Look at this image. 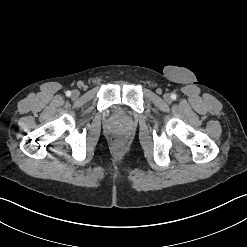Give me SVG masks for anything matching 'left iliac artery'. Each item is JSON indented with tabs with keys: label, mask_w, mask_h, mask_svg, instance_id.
<instances>
[{
	"label": "left iliac artery",
	"mask_w": 247,
	"mask_h": 247,
	"mask_svg": "<svg viewBox=\"0 0 247 247\" xmlns=\"http://www.w3.org/2000/svg\"><path fill=\"white\" fill-rule=\"evenodd\" d=\"M171 98H172L173 100H175V99L177 98L176 94H172V95H171Z\"/></svg>",
	"instance_id": "1"
}]
</instances>
